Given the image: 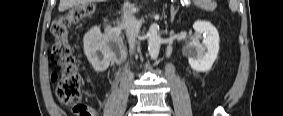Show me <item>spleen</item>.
<instances>
[{"instance_id":"spleen-1","label":"spleen","mask_w":283,"mask_h":116,"mask_svg":"<svg viewBox=\"0 0 283 116\" xmlns=\"http://www.w3.org/2000/svg\"><path fill=\"white\" fill-rule=\"evenodd\" d=\"M229 8H230L233 12H235V11L237 10V8H238V2H237V0H230V1H229Z\"/></svg>"}]
</instances>
